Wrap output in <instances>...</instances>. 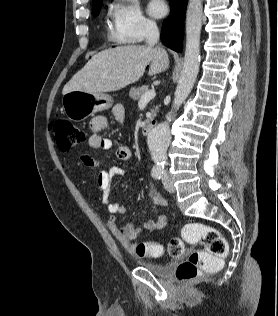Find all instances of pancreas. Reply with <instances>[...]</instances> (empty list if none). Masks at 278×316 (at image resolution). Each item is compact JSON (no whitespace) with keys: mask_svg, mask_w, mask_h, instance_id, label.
<instances>
[{"mask_svg":"<svg viewBox=\"0 0 278 316\" xmlns=\"http://www.w3.org/2000/svg\"><path fill=\"white\" fill-rule=\"evenodd\" d=\"M148 90H149L148 85H144L142 87H137V88L133 87V88L130 89L129 97L131 99H133L134 101L140 100V98ZM156 111H157V107H155V109L151 110L152 117H154L156 115Z\"/></svg>","mask_w":278,"mask_h":316,"instance_id":"pancreas-1","label":"pancreas"}]
</instances>
